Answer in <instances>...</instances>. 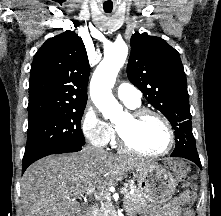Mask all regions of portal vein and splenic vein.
Wrapping results in <instances>:
<instances>
[{
    "mask_svg": "<svg viewBox=\"0 0 221 216\" xmlns=\"http://www.w3.org/2000/svg\"><path fill=\"white\" fill-rule=\"evenodd\" d=\"M126 192H128V189L125 188V187H123V188L121 189V193L124 194V193H126ZM128 193H129V194H132L133 191H130V192H128ZM92 194H94V197H95V199H97V200L106 199V198H108V196H109V193H107V192H105V191H103V190H102V191H99V192H95L94 189H89V190H87L86 193H85V196H90V195H92ZM81 197H83V195H81Z\"/></svg>",
    "mask_w": 221,
    "mask_h": 216,
    "instance_id": "obj_1",
    "label": "portal vein and splenic vein"
}]
</instances>
